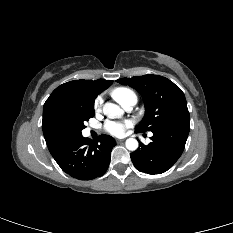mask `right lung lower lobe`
I'll list each match as a JSON object with an SVG mask.
<instances>
[{
	"label": "right lung lower lobe",
	"mask_w": 233,
	"mask_h": 233,
	"mask_svg": "<svg viewBox=\"0 0 233 233\" xmlns=\"http://www.w3.org/2000/svg\"><path fill=\"white\" fill-rule=\"evenodd\" d=\"M115 145L114 138L108 135L103 134L96 141L81 136L50 153L64 172L76 179L87 180L106 172Z\"/></svg>",
	"instance_id": "obj_1"
}]
</instances>
